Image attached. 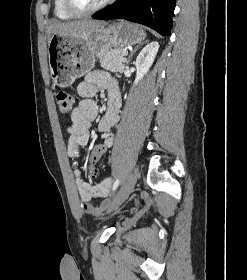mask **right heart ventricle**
I'll use <instances>...</instances> for the list:
<instances>
[{
	"label": "right heart ventricle",
	"mask_w": 247,
	"mask_h": 280,
	"mask_svg": "<svg viewBox=\"0 0 247 280\" xmlns=\"http://www.w3.org/2000/svg\"><path fill=\"white\" fill-rule=\"evenodd\" d=\"M54 13L61 20H70L74 15L65 8L64 0H54Z\"/></svg>",
	"instance_id": "obj_1"
}]
</instances>
